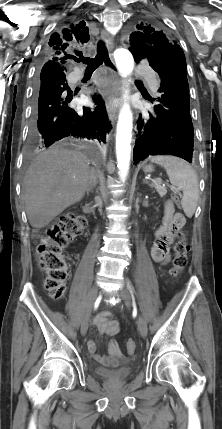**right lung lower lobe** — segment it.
Listing matches in <instances>:
<instances>
[{
    "mask_svg": "<svg viewBox=\"0 0 222 429\" xmlns=\"http://www.w3.org/2000/svg\"><path fill=\"white\" fill-rule=\"evenodd\" d=\"M66 65L46 61L38 75L31 130L35 139L47 147L54 143L78 145L83 139L105 142L111 124L104 101L93 95L94 111L69 106L73 99L66 81Z\"/></svg>",
    "mask_w": 222,
    "mask_h": 429,
    "instance_id": "obj_1",
    "label": "right lung lower lobe"
}]
</instances>
